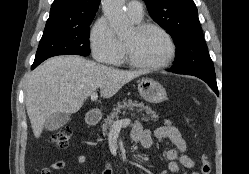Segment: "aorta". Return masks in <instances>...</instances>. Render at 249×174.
Here are the masks:
<instances>
[{"label": "aorta", "mask_w": 249, "mask_h": 174, "mask_svg": "<svg viewBox=\"0 0 249 174\" xmlns=\"http://www.w3.org/2000/svg\"><path fill=\"white\" fill-rule=\"evenodd\" d=\"M124 3L125 0H102L104 15L118 36L127 34L132 27L131 22L124 13Z\"/></svg>", "instance_id": "aorta-1"}]
</instances>
